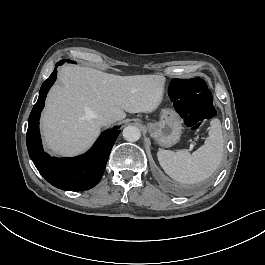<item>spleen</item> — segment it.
Returning <instances> with one entry per match:
<instances>
[{
    "mask_svg": "<svg viewBox=\"0 0 265 265\" xmlns=\"http://www.w3.org/2000/svg\"><path fill=\"white\" fill-rule=\"evenodd\" d=\"M223 134L219 119L210 122L205 144L192 154L186 150H159L157 157L166 174L183 184H195L209 178L221 163Z\"/></svg>",
    "mask_w": 265,
    "mask_h": 265,
    "instance_id": "3e777b00",
    "label": "spleen"
}]
</instances>
